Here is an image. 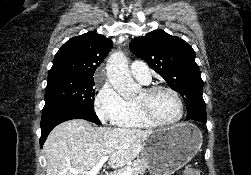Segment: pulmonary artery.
Masks as SVG:
<instances>
[{"label":"pulmonary artery","mask_w":251,"mask_h":175,"mask_svg":"<svg viewBox=\"0 0 251 175\" xmlns=\"http://www.w3.org/2000/svg\"><path fill=\"white\" fill-rule=\"evenodd\" d=\"M132 76L143 84H148L151 81L150 69L147 62H132L130 67Z\"/></svg>","instance_id":"pulmonary-artery-1"}]
</instances>
